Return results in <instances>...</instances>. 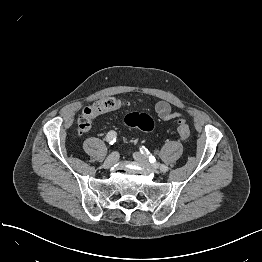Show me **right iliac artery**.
Segmentation results:
<instances>
[{"label": "right iliac artery", "mask_w": 262, "mask_h": 262, "mask_svg": "<svg viewBox=\"0 0 262 262\" xmlns=\"http://www.w3.org/2000/svg\"><path fill=\"white\" fill-rule=\"evenodd\" d=\"M116 137H117V133L115 131H110V132H108V134L106 136V141L110 145H113L116 142Z\"/></svg>", "instance_id": "right-iliac-artery-1"}]
</instances>
